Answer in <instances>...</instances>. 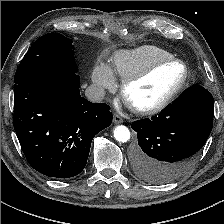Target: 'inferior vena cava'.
<instances>
[{
  "instance_id": "1",
  "label": "inferior vena cava",
  "mask_w": 224,
  "mask_h": 224,
  "mask_svg": "<svg viewBox=\"0 0 224 224\" xmlns=\"http://www.w3.org/2000/svg\"><path fill=\"white\" fill-rule=\"evenodd\" d=\"M85 96L91 102H100L105 96V90L99 85H90L85 90Z\"/></svg>"
}]
</instances>
